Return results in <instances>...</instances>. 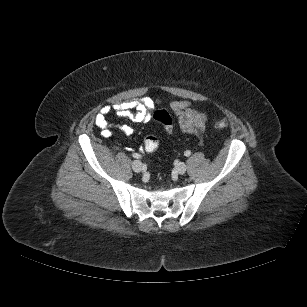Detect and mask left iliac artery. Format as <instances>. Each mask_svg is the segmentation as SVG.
Returning <instances> with one entry per match:
<instances>
[{"instance_id": "obj_1", "label": "left iliac artery", "mask_w": 307, "mask_h": 307, "mask_svg": "<svg viewBox=\"0 0 307 307\" xmlns=\"http://www.w3.org/2000/svg\"><path fill=\"white\" fill-rule=\"evenodd\" d=\"M184 155L187 156V157L190 156L191 155V151H189V150L185 151Z\"/></svg>"}]
</instances>
